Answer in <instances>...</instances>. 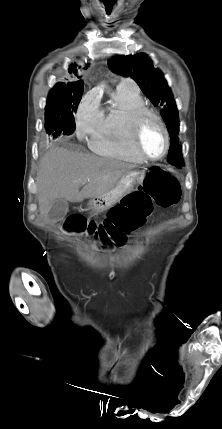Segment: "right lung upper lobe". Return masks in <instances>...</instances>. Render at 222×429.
<instances>
[{"label": "right lung upper lobe", "instance_id": "right-lung-upper-lobe-1", "mask_svg": "<svg viewBox=\"0 0 222 429\" xmlns=\"http://www.w3.org/2000/svg\"><path fill=\"white\" fill-rule=\"evenodd\" d=\"M88 66L89 65L87 64L86 68ZM68 73L71 75L72 78L79 79V80H77L76 82H68V83L59 82L52 88V90L50 91L51 93L66 92V91L72 90L78 84H83L82 80H80L79 71L77 69L76 64H71L69 66Z\"/></svg>", "mask_w": 222, "mask_h": 429}]
</instances>
